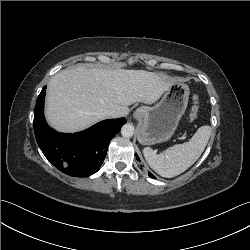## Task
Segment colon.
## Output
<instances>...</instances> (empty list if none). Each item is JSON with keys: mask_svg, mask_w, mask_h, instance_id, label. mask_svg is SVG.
<instances>
[{"mask_svg": "<svg viewBox=\"0 0 250 250\" xmlns=\"http://www.w3.org/2000/svg\"><path fill=\"white\" fill-rule=\"evenodd\" d=\"M193 100H194V105H193L192 112H191V115H190L191 120L196 118L197 112H198V97L195 95L193 97Z\"/></svg>", "mask_w": 250, "mask_h": 250, "instance_id": "5ec220e1", "label": "colon"}]
</instances>
